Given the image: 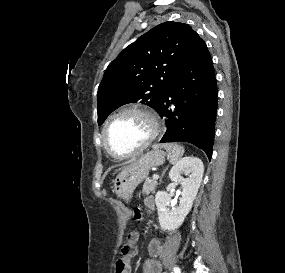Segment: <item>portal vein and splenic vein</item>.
<instances>
[{"instance_id":"portal-vein-and-splenic-vein-1","label":"portal vein and splenic vein","mask_w":285,"mask_h":273,"mask_svg":"<svg viewBox=\"0 0 285 273\" xmlns=\"http://www.w3.org/2000/svg\"><path fill=\"white\" fill-rule=\"evenodd\" d=\"M152 178H153L154 180H156V179L159 178V175H158V174H154V175L152 176Z\"/></svg>"}]
</instances>
